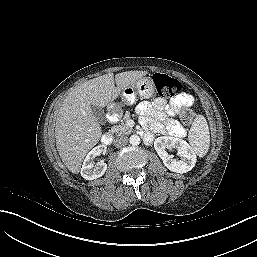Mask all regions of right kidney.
<instances>
[{
    "mask_svg": "<svg viewBox=\"0 0 257 257\" xmlns=\"http://www.w3.org/2000/svg\"><path fill=\"white\" fill-rule=\"evenodd\" d=\"M106 147L105 145H98L94 147L85 157L82 168H81V176L86 180H94L97 179L105 173L107 170V164L103 161L98 162L96 165L94 163V159L96 156L105 153Z\"/></svg>",
    "mask_w": 257,
    "mask_h": 257,
    "instance_id": "1",
    "label": "right kidney"
}]
</instances>
